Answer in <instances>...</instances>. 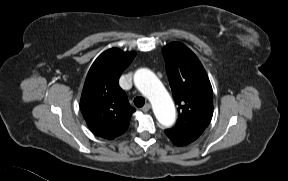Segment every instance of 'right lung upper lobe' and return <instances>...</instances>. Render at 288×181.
<instances>
[{
	"label": "right lung upper lobe",
	"mask_w": 288,
	"mask_h": 181,
	"mask_svg": "<svg viewBox=\"0 0 288 181\" xmlns=\"http://www.w3.org/2000/svg\"><path fill=\"white\" fill-rule=\"evenodd\" d=\"M135 55V52H123L117 48L106 50L88 72L80 108L88 127L97 136L114 139L128 129L135 109L129 104L118 80Z\"/></svg>",
	"instance_id": "obj_1"
}]
</instances>
